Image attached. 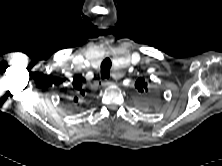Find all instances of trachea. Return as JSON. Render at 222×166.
Wrapping results in <instances>:
<instances>
[{
	"label": "trachea",
	"instance_id": "trachea-1",
	"mask_svg": "<svg viewBox=\"0 0 222 166\" xmlns=\"http://www.w3.org/2000/svg\"><path fill=\"white\" fill-rule=\"evenodd\" d=\"M111 60L109 58H105L101 63V78L108 79L110 77V68H111Z\"/></svg>",
	"mask_w": 222,
	"mask_h": 166
}]
</instances>
